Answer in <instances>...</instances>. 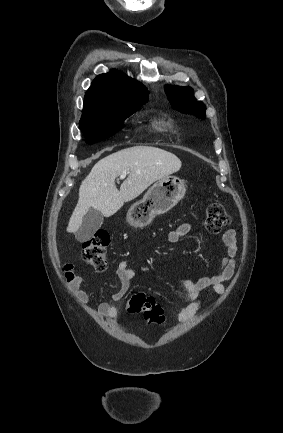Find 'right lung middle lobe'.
Masks as SVG:
<instances>
[{"mask_svg": "<svg viewBox=\"0 0 283 433\" xmlns=\"http://www.w3.org/2000/svg\"><path fill=\"white\" fill-rule=\"evenodd\" d=\"M139 109L130 107L83 112L79 127L86 136V142L92 144L112 136L123 126L124 120Z\"/></svg>", "mask_w": 283, "mask_h": 433, "instance_id": "1", "label": "right lung middle lobe"}]
</instances>
